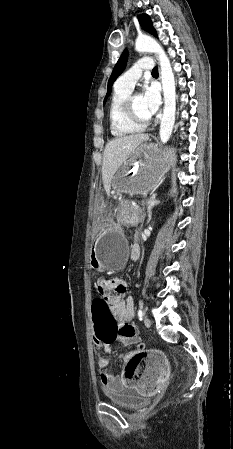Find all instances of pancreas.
<instances>
[{
	"label": "pancreas",
	"instance_id": "1",
	"mask_svg": "<svg viewBox=\"0 0 233 449\" xmlns=\"http://www.w3.org/2000/svg\"><path fill=\"white\" fill-rule=\"evenodd\" d=\"M125 204L128 206V208L121 209L119 213V220L125 221L134 226H136L138 223H142L145 218V212L132 206L130 202H126Z\"/></svg>",
	"mask_w": 233,
	"mask_h": 449
}]
</instances>
